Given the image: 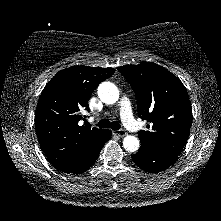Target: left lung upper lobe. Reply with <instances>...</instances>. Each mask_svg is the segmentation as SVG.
Here are the masks:
<instances>
[{
  "label": "left lung upper lobe",
  "instance_id": "5c2ea615",
  "mask_svg": "<svg viewBox=\"0 0 221 221\" xmlns=\"http://www.w3.org/2000/svg\"><path fill=\"white\" fill-rule=\"evenodd\" d=\"M133 88L138 114L149 125L138 133L141 147L179 155L192 123V108L183 83L153 62L118 67Z\"/></svg>",
  "mask_w": 221,
  "mask_h": 221
}]
</instances>
